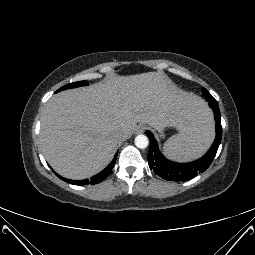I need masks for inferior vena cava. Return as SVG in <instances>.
Returning <instances> with one entry per match:
<instances>
[{
	"label": "inferior vena cava",
	"instance_id": "602c4592",
	"mask_svg": "<svg viewBox=\"0 0 255 255\" xmlns=\"http://www.w3.org/2000/svg\"><path fill=\"white\" fill-rule=\"evenodd\" d=\"M115 138H116L117 140H122V139L125 138V136H124L123 133L117 132V133L115 134Z\"/></svg>",
	"mask_w": 255,
	"mask_h": 255
}]
</instances>
